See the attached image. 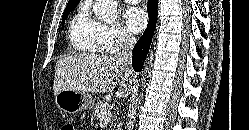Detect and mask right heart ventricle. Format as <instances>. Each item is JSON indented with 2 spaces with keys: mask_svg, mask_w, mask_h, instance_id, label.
<instances>
[{
  "mask_svg": "<svg viewBox=\"0 0 249 130\" xmlns=\"http://www.w3.org/2000/svg\"><path fill=\"white\" fill-rule=\"evenodd\" d=\"M100 24L81 7L73 16L68 28L70 47L79 53L97 54L105 51Z\"/></svg>",
  "mask_w": 249,
  "mask_h": 130,
  "instance_id": "1",
  "label": "right heart ventricle"
}]
</instances>
